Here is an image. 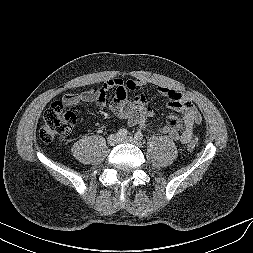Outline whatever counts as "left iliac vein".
<instances>
[{
    "mask_svg": "<svg viewBox=\"0 0 253 253\" xmlns=\"http://www.w3.org/2000/svg\"><path fill=\"white\" fill-rule=\"evenodd\" d=\"M122 142H129V143H133L137 146H141V141L136 140V138L132 137V136H127V137H123L121 138Z\"/></svg>",
    "mask_w": 253,
    "mask_h": 253,
    "instance_id": "obj_1",
    "label": "left iliac vein"
}]
</instances>
